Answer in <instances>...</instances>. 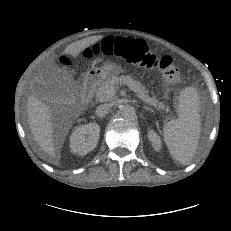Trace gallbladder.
<instances>
[{"label": "gallbladder", "instance_id": "bac80fb5", "mask_svg": "<svg viewBox=\"0 0 231 231\" xmlns=\"http://www.w3.org/2000/svg\"><path fill=\"white\" fill-rule=\"evenodd\" d=\"M72 81V76L67 70L58 69L57 73L49 75V81L40 83L38 93L47 100H56L64 94L63 86Z\"/></svg>", "mask_w": 231, "mask_h": 231}]
</instances>
